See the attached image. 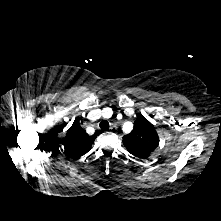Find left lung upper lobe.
<instances>
[{
  "label": "left lung upper lobe",
  "mask_w": 221,
  "mask_h": 221,
  "mask_svg": "<svg viewBox=\"0 0 221 221\" xmlns=\"http://www.w3.org/2000/svg\"><path fill=\"white\" fill-rule=\"evenodd\" d=\"M123 143L132 155L145 159L159 144L154 126L142 114L134 122L133 131L123 137Z\"/></svg>",
  "instance_id": "5c2ea615"
}]
</instances>
